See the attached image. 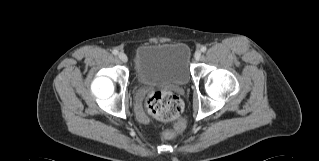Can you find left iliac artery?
I'll use <instances>...</instances> for the list:
<instances>
[{"label": "left iliac artery", "mask_w": 319, "mask_h": 161, "mask_svg": "<svg viewBox=\"0 0 319 161\" xmlns=\"http://www.w3.org/2000/svg\"><path fill=\"white\" fill-rule=\"evenodd\" d=\"M207 50V48L205 47V46H203L202 48H201V51L202 52H205Z\"/></svg>", "instance_id": "left-iliac-artery-1"}]
</instances>
